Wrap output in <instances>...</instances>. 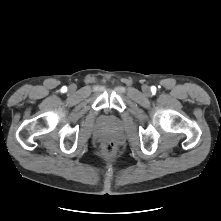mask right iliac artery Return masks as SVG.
I'll list each match as a JSON object with an SVG mask.
<instances>
[{
	"label": "right iliac artery",
	"instance_id": "1",
	"mask_svg": "<svg viewBox=\"0 0 221 221\" xmlns=\"http://www.w3.org/2000/svg\"><path fill=\"white\" fill-rule=\"evenodd\" d=\"M61 90H62V92H66L67 91V87L64 86V87H62Z\"/></svg>",
	"mask_w": 221,
	"mask_h": 221
}]
</instances>
